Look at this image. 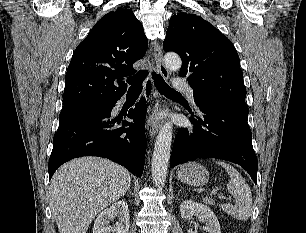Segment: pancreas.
I'll list each match as a JSON object with an SVG mask.
<instances>
[{
	"label": "pancreas",
	"instance_id": "1",
	"mask_svg": "<svg viewBox=\"0 0 306 233\" xmlns=\"http://www.w3.org/2000/svg\"><path fill=\"white\" fill-rule=\"evenodd\" d=\"M203 202L208 205H214V200L211 198H203Z\"/></svg>",
	"mask_w": 306,
	"mask_h": 233
}]
</instances>
